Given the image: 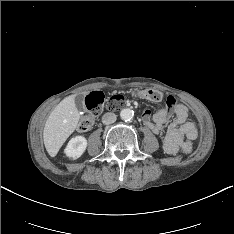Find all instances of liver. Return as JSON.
<instances>
[{
	"label": "liver",
	"mask_w": 234,
	"mask_h": 234,
	"mask_svg": "<svg viewBox=\"0 0 234 234\" xmlns=\"http://www.w3.org/2000/svg\"><path fill=\"white\" fill-rule=\"evenodd\" d=\"M89 91L83 92L88 94ZM80 115L75 105V95L64 98L50 113L43 130L44 145L54 157L67 138L74 132Z\"/></svg>",
	"instance_id": "obj_1"
}]
</instances>
